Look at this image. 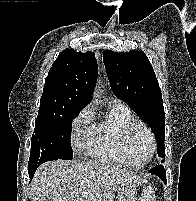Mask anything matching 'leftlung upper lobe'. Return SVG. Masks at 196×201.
<instances>
[{"label":"left lung upper lobe","instance_id":"1","mask_svg":"<svg viewBox=\"0 0 196 201\" xmlns=\"http://www.w3.org/2000/svg\"><path fill=\"white\" fill-rule=\"evenodd\" d=\"M103 60L115 95L152 128L159 157H165V114L162 94L147 56L142 51L105 50Z\"/></svg>","mask_w":196,"mask_h":201}]
</instances>
